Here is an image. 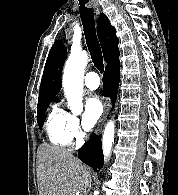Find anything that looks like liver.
<instances>
[{"instance_id":"obj_1","label":"liver","mask_w":178,"mask_h":195,"mask_svg":"<svg viewBox=\"0 0 178 195\" xmlns=\"http://www.w3.org/2000/svg\"><path fill=\"white\" fill-rule=\"evenodd\" d=\"M37 157L40 195H77L89 188V169L71 153L42 144L38 148Z\"/></svg>"}]
</instances>
